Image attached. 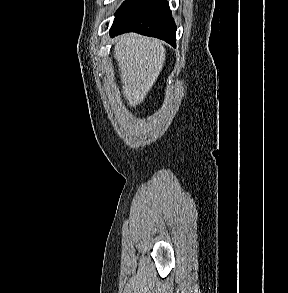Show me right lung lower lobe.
<instances>
[{"label":"right lung lower lobe","instance_id":"1","mask_svg":"<svg viewBox=\"0 0 288 293\" xmlns=\"http://www.w3.org/2000/svg\"><path fill=\"white\" fill-rule=\"evenodd\" d=\"M126 32L157 37L176 45V25L166 0H130L116 14L110 35Z\"/></svg>","mask_w":288,"mask_h":293}]
</instances>
